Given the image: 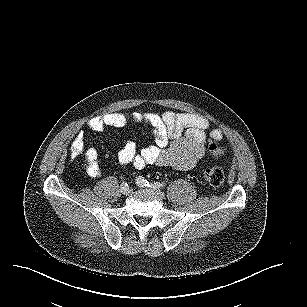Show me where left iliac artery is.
I'll return each mask as SVG.
<instances>
[{"label":"left iliac artery","mask_w":307,"mask_h":307,"mask_svg":"<svg viewBox=\"0 0 307 307\" xmlns=\"http://www.w3.org/2000/svg\"><path fill=\"white\" fill-rule=\"evenodd\" d=\"M137 183L141 186H148V187H155V188H163L165 186V182H154L153 184L151 183V185L149 184V182L147 180L144 179V177L139 176L137 178Z\"/></svg>","instance_id":"1"}]
</instances>
